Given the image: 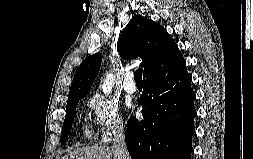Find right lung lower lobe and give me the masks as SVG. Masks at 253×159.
Here are the masks:
<instances>
[{"label": "right lung lower lobe", "instance_id": "right-lung-lower-lobe-1", "mask_svg": "<svg viewBox=\"0 0 253 159\" xmlns=\"http://www.w3.org/2000/svg\"><path fill=\"white\" fill-rule=\"evenodd\" d=\"M186 62L173 72L144 80L138 99L144 120L130 117L125 141L133 159H191L195 93Z\"/></svg>", "mask_w": 253, "mask_h": 159}]
</instances>
